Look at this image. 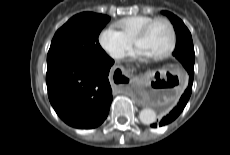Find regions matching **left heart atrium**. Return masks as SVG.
Here are the masks:
<instances>
[{
    "label": "left heart atrium",
    "instance_id": "obj_1",
    "mask_svg": "<svg viewBox=\"0 0 230 155\" xmlns=\"http://www.w3.org/2000/svg\"><path fill=\"white\" fill-rule=\"evenodd\" d=\"M131 55L133 57H147L148 56V54L142 48H139V47H137Z\"/></svg>",
    "mask_w": 230,
    "mask_h": 155
}]
</instances>
